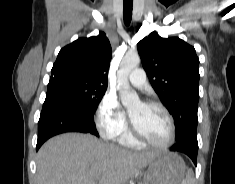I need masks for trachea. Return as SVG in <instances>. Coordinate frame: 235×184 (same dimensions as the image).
<instances>
[{"label": "trachea", "instance_id": "1", "mask_svg": "<svg viewBox=\"0 0 235 184\" xmlns=\"http://www.w3.org/2000/svg\"><path fill=\"white\" fill-rule=\"evenodd\" d=\"M133 0H124L123 17L125 25H129L132 19Z\"/></svg>", "mask_w": 235, "mask_h": 184}]
</instances>
